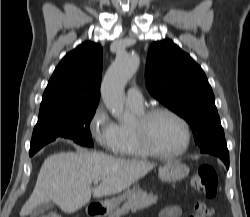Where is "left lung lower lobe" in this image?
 Returning <instances> with one entry per match:
<instances>
[{
  "mask_svg": "<svg viewBox=\"0 0 250 217\" xmlns=\"http://www.w3.org/2000/svg\"><path fill=\"white\" fill-rule=\"evenodd\" d=\"M201 153L211 154L219 157L227 168H229V152L225 139L218 140L201 148Z\"/></svg>",
  "mask_w": 250,
  "mask_h": 217,
  "instance_id": "0a47b994",
  "label": "left lung lower lobe"
}]
</instances>
